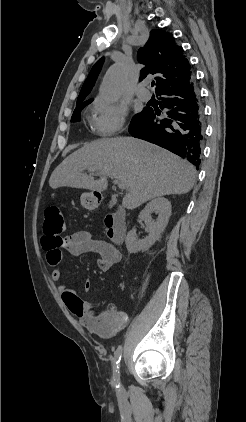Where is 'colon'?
<instances>
[{"label":"colon","instance_id":"5ec220e1","mask_svg":"<svg viewBox=\"0 0 246 422\" xmlns=\"http://www.w3.org/2000/svg\"><path fill=\"white\" fill-rule=\"evenodd\" d=\"M65 221L61 207L52 204L45 210L44 230L49 235H59L64 231Z\"/></svg>","mask_w":246,"mask_h":422}]
</instances>
